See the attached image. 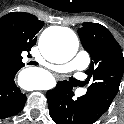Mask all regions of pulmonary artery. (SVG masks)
<instances>
[{
  "label": "pulmonary artery",
  "instance_id": "e3ab8cb5",
  "mask_svg": "<svg viewBox=\"0 0 124 124\" xmlns=\"http://www.w3.org/2000/svg\"><path fill=\"white\" fill-rule=\"evenodd\" d=\"M90 63V56L88 54V52L82 50L80 51L77 56L70 62L66 63V64H62V65H52L50 67H48V69L50 71L53 72H69V71H73V70H84L85 68H87V66ZM85 93L84 90H80L77 92L78 96H81Z\"/></svg>",
  "mask_w": 124,
  "mask_h": 124
}]
</instances>
